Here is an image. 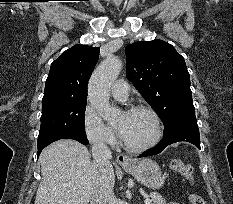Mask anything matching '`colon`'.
<instances>
[{
    "label": "colon",
    "mask_w": 233,
    "mask_h": 204,
    "mask_svg": "<svg viewBox=\"0 0 233 204\" xmlns=\"http://www.w3.org/2000/svg\"><path fill=\"white\" fill-rule=\"evenodd\" d=\"M170 169L175 173L181 174L188 181H193V168L182 160H172L170 162ZM189 199L191 204H206L204 199L195 193L190 194Z\"/></svg>",
    "instance_id": "colon-1"
}]
</instances>
